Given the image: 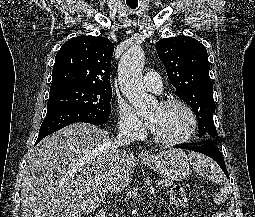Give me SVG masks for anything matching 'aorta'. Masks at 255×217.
I'll use <instances>...</instances> for the list:
<instances>
[{
	"mask_svg": "<svg viewBox=\"0 0 255 217\" xmlns=\"http://www.w3.org/2000/svg\"><path fill=\"white\" fill-rule=\"evenodd\" d=\"M145 54L140 46L128 49L120 59L118 81L120 89L133 105L139 116H144L156 104V100L145 92L142 70Z\"/></svg>",
	"mask_w": 255,
	"mask_h": 217,
	"instance_id": "aorta-1",
	"label": "aorta"
}]
</instances>
